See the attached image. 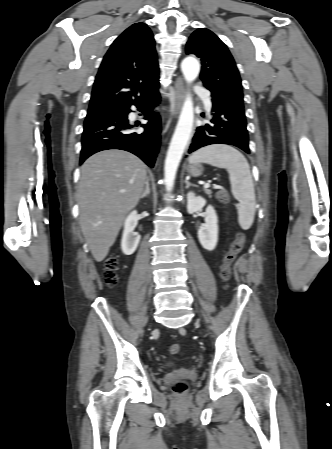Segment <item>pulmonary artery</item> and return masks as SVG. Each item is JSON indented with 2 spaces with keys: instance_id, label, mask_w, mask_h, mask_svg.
Returning <instances> with one entry per match:
<instances>
[{
  "instance_id": "1",
  "label": "pulmonary artery",
  "mask_w": 332,
  "mask_h": 449,
  "mask_svg": "<svg viewBox=\"0 0 332 449\" xmlns=\"http://www.w3.org/2000/svg\"><path fill=\"white\" fill-rule=\"evenodd\" d=\"M196 92L203 98L205 108L209 110L211 108V102L208 97V91L204 88H196Z\"/></svg>"
}]
</instances>
